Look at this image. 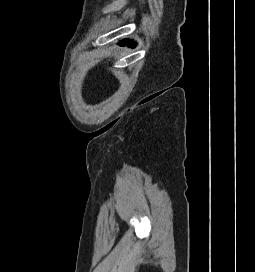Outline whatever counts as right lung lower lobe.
Here are the masks:
<instances>
[{
	"label": "right lung lower lobe",
	"mask_w": 255,
	"mask_h": 272,
	"mask_svg": "<svg viewBox=\"0 0 255 272\" xmlns=\"http://www.w3.org/2000/svg\"><path fill=\"white\" fill-rule=\"evenodd\" d=\"M126 42V43H125ZM121 46L127 45L129 47H133L135 45V42L132 40H123L119 43Z\"/></svg>",
	"instance_id": "98d812e1"
}]
</instances>
